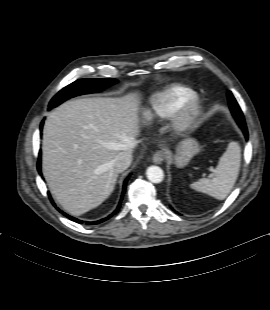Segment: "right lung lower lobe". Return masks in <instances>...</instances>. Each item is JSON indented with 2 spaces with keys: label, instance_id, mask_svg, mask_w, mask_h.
I'll list each match as a JSON object with an SVG mask.
<instances>
[{
  "label": "right lung lower lobe",
  "instance_id": "98d812e1",
  "mask_svg": "<svg viewBox=\"0 0 270 310\" xmlns=\"http://www.w3.org/2000/svg\"><path fill=\"white\" fill-rule=\"evenodd\" d=\"M42 126H43V122L41 123L40 129H42ZM40 167H41V158L39 157V160H38V171H39V173L41 174V169H40ZM127 181H128V178L124 181V184H123V193H122V194H124V192H125V187H126ZM50 199H51V197H50ZM51 201H52V199H51ZM52 203H53V201H52ZM53 204H54V203H53ZM119 208H120V204L118 205V207L116 208V210H115L111 215H109L108 217L103 218V219L98 220V221H94L93 223L87 222V224L92 225V224H99V223H101V222H104V221L108 220L111 216H113L114 214H116L117 211L119 210ZM58 210H59V209H58ZM59 211H60L63 215H65L66 217H68L69 219H71V220H73V221H75V222H77V223H82V222H83V221H81V220H79V219H76V218H74V217H71V216L67 215L66 213L62 212L61 210H59Z\"/></svg>",
  "mask_w": 270,
  "mask_h": 310
}]
</instances>
